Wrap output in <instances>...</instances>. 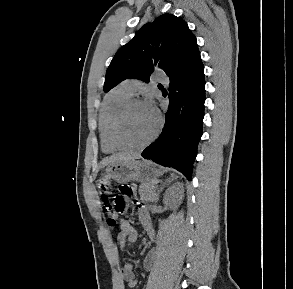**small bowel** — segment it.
<instances>
[{
	"mask_svg": "<svg viewBox=\"0 0 293 289\" xmlns=\"http://www.w3.org/2000/svg\"><path fill=\"white\" fill-rule=\"evenodd\" d=\"M139 220L150 240L155 239V231L151 226L149 210L146 206H141L138 212ZM138 238V233L132 224L122 219L120 222L119 232L117 234V241L121 249L126 247L128 242H135ZM156 252L154 249L150 250L144 260V267L149 270L153 266ZM121 279L126 282L132 289L137 287V279L134 274L133 265L127 263L121 269Z\"/></svg>",
	"mask_w": 293,
	"mask_h": 289,
	"instance_id": "obj_1",
	"label": "small bowel"
}]
</instances>
